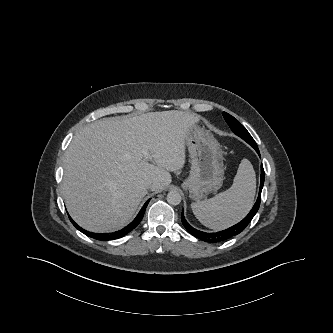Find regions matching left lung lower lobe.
<instances>
[{"label": "left lung lower lobe", "instance_id": "obj_1", "mask_svg": "<svg viewBox=\"0 0 333 333\" xmlns=\"http://www.w3.org/2000/svg\"><path fill=\"white\" fill-rule=\"evenodd\" d=\"M252 147L256 150V152L260 156L258 146L254 145ZM263 185H264V169H263V165H261L260 189H259V194H258L256 203L254 204V206H253L252 210L249 212V214L242 221H240L238 224H236L226 230L215 232V233H206V232L197 230V229L193 228L191 225H189V223L185 220L183 212L181 214V221L188 232H190L193 236L197 237L198 239H200L202 241L209 242V243H218V242H223L227 239H230L233 236L241 233L251 222L252 218L255 216V214L258 211L259 206H260L261 191H262Z\"/></svg>", "mask_w": 333, "mask_h": 333}]
</instances>
